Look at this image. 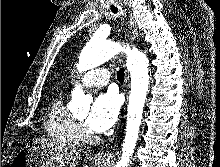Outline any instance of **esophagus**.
Instances as JSON below:
<instances>
[{
  "mask_svg": "<svg viewBox=\"0 0 220 167\" xmlns=\"http://www.w3.org/2000/svg\"><path fill=\"white\" fill-rule=\"evenodd\" d=\"M129 37H130V42L131 44L138 39V31L137 27L133 21V18L131 17L130 22H129ZM128 82H129V74L128 72L125 73V91L128 88ZM106 153L104 152H98L95 156L96 159L102 160L106 158Z\"/></svg>",
  "mask_w": 220,
  "mask_h": 167,
  "instance_id": "esophagus-1",
  "label": "esophagus"
}]
</instances>
